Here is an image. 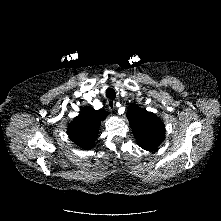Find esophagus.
I'll list each match as a JSON object with an SVG mask.
<instances>
[{"instance_id": "esophagus-1", "label": "esophagus", "mask_w": 221, "mask_h": 221, "mask_svg": "<svg viewBox=\"0 0 221 221\" xmlns=\"http://www.w3.org/2000/svg\"><path fill=\"white\" fill-rule=\"evenodd\" d=\"M107 106L110 110H113L115 108V101L114 100H108Z\"/></svg>"}]
</instances>
